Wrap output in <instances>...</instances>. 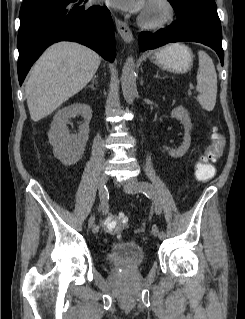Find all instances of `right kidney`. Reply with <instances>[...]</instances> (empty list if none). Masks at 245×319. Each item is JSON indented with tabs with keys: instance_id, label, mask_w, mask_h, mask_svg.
<instances>
[{
	"instance_id": "ca27d5eb",
	"label": "right kidney",
	"mask_w": 245,
	"mask_h": 319,
	"mask_svg": "<svg viewBox=\"0 0 245 319\" xmlns=\"http://www.w3.org/2000/svg\"><path fill=\"white\" fill-rule=\"evenodd\" d=\"M81 115L84 123L79 126V133L70 135L67 123L71 118ZM92 110L89 105L76 103L59 110L51 123L48 132L49 142L53 147L54 156L64 165H73L82 157L88 141L89 123Z\"/></svg>"
}]
</instances>
